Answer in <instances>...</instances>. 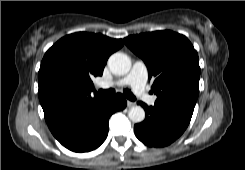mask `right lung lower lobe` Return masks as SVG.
I'll return each mask as SVG.
<instances>
[{"label": "right lung lower lobe", "mask_w": 245, "mask_h": 170, "mask_svg": "<svg viewBox=\"0 0 245 170\" xmlns=\"http://www.w3.org/2000/svg\"><path fill=\"white\" fill-rule=\"evenodd\" d=\"M126 107L122 94L102 98L77 115L55 138L74 152H89L98 148L108 135L109 117Z\"/></svg>", "instance_id": "98d812e1"}]
</instances>
